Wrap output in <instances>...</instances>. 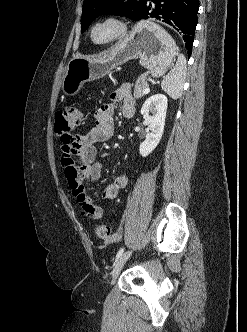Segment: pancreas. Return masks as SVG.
<instances>
[{"mask_svg":"<svg viewBox=\"0 0 247 332\" xmlns=\"http://www.w3.org/2000/svg\"><path fill=\"white\" fill-rule=\"evenodd\" d=\"M148 87L147 77L142 75L138 78L134 86V98L138 99L143 96V90Z\"/></svg>","mask_w":247,"mask_h":332,"instance_id":"cf45deb5","label":"pancreas"}]
</instances>
